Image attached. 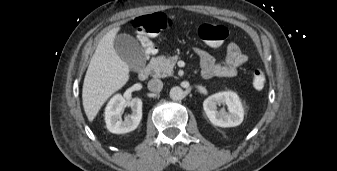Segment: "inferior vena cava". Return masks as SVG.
<instances>
[{
  "instance_id": "602c4592",
  "label": "inferior vena cava",
  "mask_w": 337,
  "mask_h": 171,
  "mask_svg": "<svg viewBox=\"0 0 337 171\" xmlns=\"http://www.w3.org/2000/svg\"><path fill=\"white\" fill-rule=\"evenodd\" d=\"M163 88V82L160 79H151L148 82V89L152 92H160Z\"/></svg>"
}]
</instances>
